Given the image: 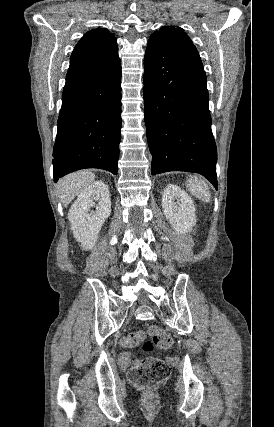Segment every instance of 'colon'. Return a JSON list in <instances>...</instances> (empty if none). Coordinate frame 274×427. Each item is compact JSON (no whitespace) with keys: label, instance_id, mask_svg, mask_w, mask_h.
<instances>
[{"label":"colon","instance_id":"5ec220e1","mask_svg":"<svg viewBox=\"0 0 274 427\" xmlns=\"http://www.w3.org/2000/svg\"><path fill=\"white\" fill-rule=\"evenodd\" d=\"M122 346L126 348L142 345L146 353H151L155 348L168 349L173 344V339L163 329L150 326L144 330L132 331L121 339ZM170 377V366L163 360L153 357L138 359L129 370V379L138 389H146L163 384Z\"/></svg>","mask_w":274,"mask_h":427}]
</instances>
